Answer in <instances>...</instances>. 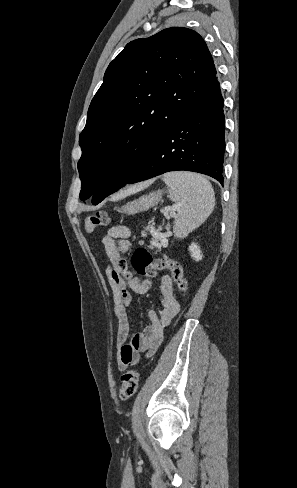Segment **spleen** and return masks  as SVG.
Returning a JSON list of instances; mask_svg holds the SVG:
<instances>
[{
	"label": "spleen",
	"mask_w": 297,
	"mask_h": 488,
	"mask_svg": "<svg viewBox=\"0 0 297 488\" xmlns=\"http://www.w3.org/2000/svg\"><path fill=\"white\" fill-rule=\"evenodd\" d=\"M163 181L170 189V199L178 204L173 231L176 237H186L211 214L215 205L210 182L199 174L169 172Z\"/></svg>",
	"instance_id": "1"
}]
</instances>
